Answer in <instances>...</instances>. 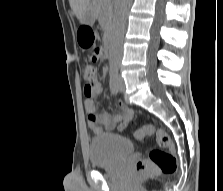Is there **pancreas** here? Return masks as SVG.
I'll return each instance as SVG.
<instances>
[{
    "instance_id": "cf45deb5",
    "label": "pancreas",
    "mask_w": 223,
    "mask_h": 191,
    "mask_svg": "<svg viewBox=\"0 0 223 191\" xmlns=\"http://www.w3.org/2000/svg\"><path fill=\"white\" fill-rule=\"evenodd\" d=\"M91 9L99 20H104L106 25L110 23L112 16L111 0H92Z\"/></svg>"
}]
</instances>
